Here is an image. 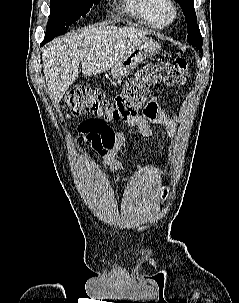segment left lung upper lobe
<instances>
[{"mask_svg": "<svg viewBox=\"0 0 239 303\" xmlns=\"http://www.w3.org/2000/svg\"><path fill=\"white\" fill-rule=\"evenodd\" d=\"M182 10L183 14L185 16V21L187 23V40L188 42L197 47L199 51L202 52V37L199 30V27L197 25V17L194 10V0H176Z\"/></svg>", "mask_w": 239, "mask_h": 303, "instance_id": "5c2ea615", "label": "left lung upper lobe"}]
</instances>
